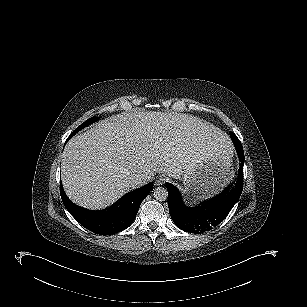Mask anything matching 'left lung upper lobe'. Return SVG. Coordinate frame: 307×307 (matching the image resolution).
<instances>
[{"mask_svg":"<svg viewBox=\"0 0 307 307\" xmlns=\"http://www.w3.org/2000/svg\"><path fill=\"white\" fill-rule=\"evenodd\" d=\"M230 136H231V139L236 147V150H237V153L238 151H240V153L242 152L243 153V147L241 145V142L239 141V139L236 137V135L232 132H230Z\"/></svg>","mask_w":307,"mask_h":307,"instance_id":"obj_1","label":"left lung upper lobe"}]
</instances>
